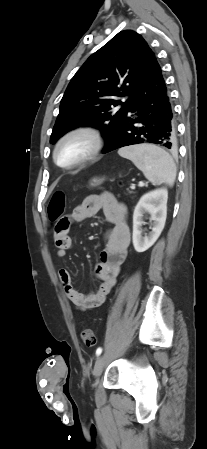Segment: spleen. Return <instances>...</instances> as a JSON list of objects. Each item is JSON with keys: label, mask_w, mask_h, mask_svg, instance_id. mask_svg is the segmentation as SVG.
<instances>
[{"label": "spleen", "mask_w": 207, "mask_h": 449, "mask_svg": "<svg viewBox=\"0 0 207 449\" xmlns=\"http://www.w3.org/2000/svg\"><path fill=\"white\" fill-rule=\"evenodd\" d=\"M118 154L131 160L152 184L173 186L176 165L164 149L153 144H139L121 148Z\"/></svg>", "instance_id": "obj_1"}]
</instances>
